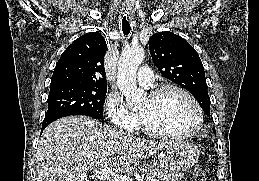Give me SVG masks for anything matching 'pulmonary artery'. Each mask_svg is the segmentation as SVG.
Segmentation results:
<instances>
[{
	"mask_svg": "<svg viewBox=\"0 0 259 181\" xmlns=\"http://www.w3.org/2000/svg\"><path fill=\"white\" fill-rule=\"evenodd\" d=\"M137 82L144 87H151L154 83L153 71L149 67H141Z\"/></svg>",
	"mask_w": 259,
	"mask_h": 181,
	"instance_id": "pulmonary-artery-1",
	"label": "pulmonary artery"
}]
</instances>
